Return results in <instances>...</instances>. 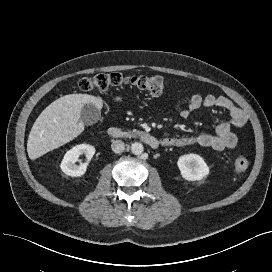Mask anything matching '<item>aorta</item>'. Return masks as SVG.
<instances>
[{
	"label": "aorta",
	"instance_id": "1",
	"mask_svg": "<svg viewBox=\"0 0 272 272\" xmlns=\"http://www.w3.org/2000/svg\"><path fill=\"white\" fill-rule=\"evenodd\" d=\"M144 151V147L142 145V143L140 142H134L132 145H131V152L134 154V155H141Z\"/></svg>",
	"mask_w": 272,
	"mask_h": 272
}]
</instances>
